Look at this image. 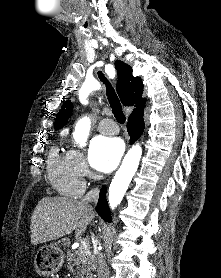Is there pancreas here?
I'll return each mask as SVG.
<instances>
[{
	"label": "pancreas",
	"mask_w": 221,
	"mask_h": 278,
	"mask_svg": "<svg viewBox=\"0 0 221 278\" xmlns=\"http://www.w3.org/2000/svg\"><path fill=\"white\" fill-rule=\"evenodd\" d=\"M63 242L70 245L69 239H63ZM67 262L68 267L71 271H73V267L76 265H82V268L77 271V277L79 278H90L91 272L94 269V265L92 262V255L88 250L81 251L80 248L75 251L67 252Z\"/></svg>",
	"instance_id": "cf45deb5"
}]
</instances>
